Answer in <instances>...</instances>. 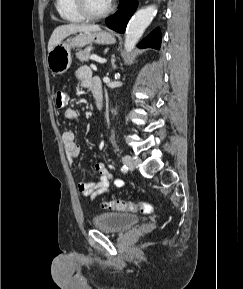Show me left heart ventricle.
<instances>
[{
    "label": "left heart ventricle",
    "instance_id": "b2bd125f",
    "mask_svg": "<svg viewBox=\"0 0 243 289\" xmlns=\"http://www.w3.org/2000/svg\"><path fill=\"white\" fill-rule=\"evenodd\" d=\"M109 3V0H87L89 9L95 13L105 10Z\"/></svg>",
    "mask_w": 243,
    "mask_h": 289
}]
</instances>
